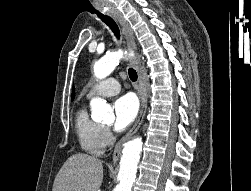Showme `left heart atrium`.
Returning <instances> with one entry per match:
<instances>
[{
	"instance_id": "1",
	"label": "left heart atrium",
	"mask_w": 251,
	"mask_h": 191,
	"mask_svg": "<svg viewBox=\"0 0 251 191\" xmlns=\"http://www.w3.org/2000/svg\"><path fill=\"white\" fill-rule=\"evenodd\" d=\"M114 110V130L124 131L135 120L138 112V104L131 96H124L115 101Z\"/></svg>"
}]
</instances>
